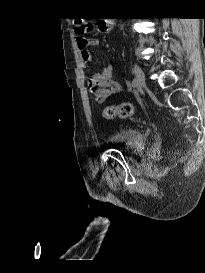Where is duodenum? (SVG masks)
<instances>
[{"label": "duodenum", "mask_w": 205, "mask_h": 273, "mask_svg": "<svg viewBox=\"0 0 205 273\" xmlns=\"http://www.w3.org/2000/svg\"><path fill=\"white\" fill-rule=\"evenodd\" d=\"M112 21L110 19L104 20L100 23V30L103 32H108L111 29Z\"/></svg>", "instance_id": "1"}]
</instances>
